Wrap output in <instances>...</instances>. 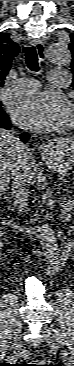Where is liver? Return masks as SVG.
Returning <instances> with one entry per match:
<instances>
[{
  "label": "liver",
  "mask_w": 74,
  "mask_h": 366,
  "mask_svg": "<svg viewBox=\"0 0 74 366\" xmlns=\"http://www.w3.org/2000/svg\"><path fill=\"white\" fill-rule=\"evenodd\" d=\"M23 144L17 137L13 136L4 129H0V191L3 192L10 181L13 174L17 171L21 157L20 146ZM24 172L28 180V184H33L39 176V169L35 159L30 152L26 157Z\"/></svg>",
  "instance_id": "liver-1"
}]
</instances>
